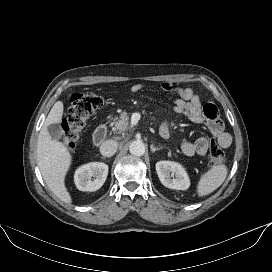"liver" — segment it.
Listing matches in <instances>:
<instances>
[{
  "instance_id": "1",
  "label": "liver",
  "mask_w": 272,
  "mask_h": 272,
  "mask_svg": "<svg viewBox=\"0 0 272 272\" xmlns=\"http://www.w3.org/2000/svg\"><path fill=\"white\" fill-rule=\"evenodd\" d=\"M64 105L57 101L51 108L38 136L37 161L44 181L50 190L65 203L72 198L65 186V176L72 162V155L61 142L52 140L48 126L62 121Z\"/></svg>"
}]
</instances>
